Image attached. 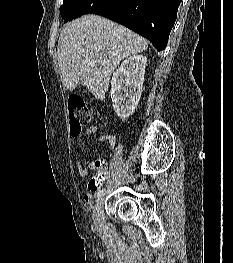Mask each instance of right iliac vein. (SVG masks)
<instances>
[{
    "label": "right iliac vein",
    "instance_id": "63e3f726",
    "mask_svg": "<svg viewBox=\"0 0 233 263\" xmlns=\"http://www.w3.org/2000/svg\"><path fill=\"white\" fill-rule=\"evenodd\" d=\"M103 198L100 197L93 210V219L96 225H100L103 221Z\"/></svg>",
    "mask_w": 233,
    "mask_h": 263
}]
</instances>
